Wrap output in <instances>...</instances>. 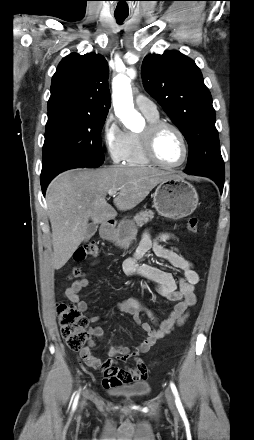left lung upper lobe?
I'll return each mask as SVG.
<instances>
[{"instance_id": "left-lung-upper-lobe-1", "label": "left lung upper lobe", "mask_w": 254, "mask_h": 440, "mask_svg": "<svg viewBox=\"0 0 254 440\" xmlns=\"http://www.w3.org/2000/svg\"><path fill=\"white\" fill-rule=\"evenodd\" d=\"M142 75L148 93L187 140L185 173L224 178L212 97L195 62L177 51L148 55Z\"/></svg>"}]
</instances>
